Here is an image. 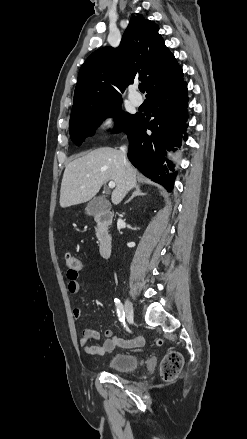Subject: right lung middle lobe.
Segmentation results:
<instances>
[{
	"instance_id": "right-lung-middle-lobe-1",
	"label": "right lung middle lobe",
	"mask_w": 247,
	"mask_h": 439,
	"mask_svg": "<svg viewBox=\"0 0 247 439\" xmlns=\"http://www.w3.org/2000/svg\"><path fill=\"white\" fill-rule=\"evenodd\" d=\"M121 103L122 101L111 103L72 116L69 121L72 141L78 146L81 145L86 137L94 134V130L99 126L102 120L111 116L116 118V130L126 131L135 121L137 114L131 115L121 112Z\"/></svg>"
}]
</instances>
